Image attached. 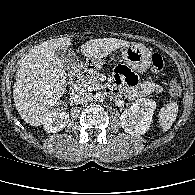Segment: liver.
<instances>
[{"label":"liver","mask_w":195,"mask_h":195,"mask_svg":"<svg viewBox=\"0 0 195 195\" xmlns=\"http://www.w3.org/2000/svg\"><path fill=\"white\" fill-rule=\"evenodd\" d=\"M129 44L116 38L93 39L81 45V52L90 59H103ZM71 45L67 37L49 40L22 59L15 75L13 99L26 123L35 127L44 124L58 105L66 91L67 77L57 51Z\"/></svg>","instance_id":"1"}]
</instances>
